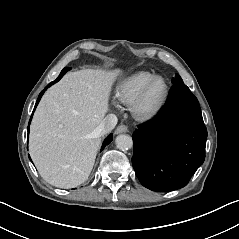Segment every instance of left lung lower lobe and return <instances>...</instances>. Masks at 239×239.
<instances>
[{
    "label": "left lung lower lobe",
    "mask_w": 239,
    "mask_h": 239,
    "mask_svg": "<svg viewBox=\"0 0 239 239\" xmlns=\"http://www.w3.org/2000/svg\"><path fill=\"white\" fill-rule=\"evenodd\" d=\"M132 138V164L143 186L157 192L186 186L205 159L207 129L197 98L184 83L173 85L167 107Z\"/></svg>",
    "instance_id": "left-lung-lower-lobe-1"
}]
</instances>
